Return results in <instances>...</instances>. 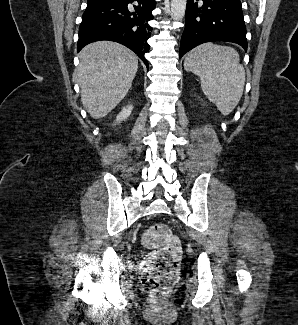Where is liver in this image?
I'll list each match as a JSON object with an SVG mask.
<instances>
[{
  "label": "liver",
  "instance_id": "6515ba94",
  "mask_svg": "<svg viewBox=\"0 0 298 325\" xmlns=\"http://www.w3.org/2000/svg\"><path fill=\"white\" fill-rule=\"evenodd\" d=\"M78 80L81 102L92 118H103L127 94L138 56L118 42L98 40L80 50Z\"/></svg>",
  "mask_w": 298,
  "mask_h": 325
}]
</instances>
